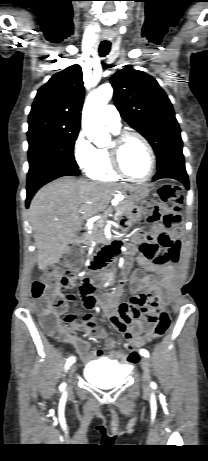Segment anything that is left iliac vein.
<instances>
[{
	"mask_svg": "<svg viewBox=\"0 0 208 461\" xmlns=\"http://www.w3.org/2000/svg\"><path fill=\"white\" fill-rule=\"evenodd\" d=\"M141 367L143 369V388L147 390L150 384V363L149 360L145 357H142L140 360Z\"/></svg>",
	"mask_w": 208,
	"mask_h": 461,
	"instance_id": "left-iliac-vein-1",
	"label": "left iliac vein"
}]
</instances>
